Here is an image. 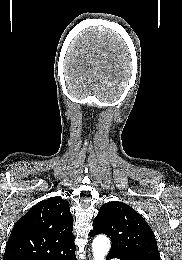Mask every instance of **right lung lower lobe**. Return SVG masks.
Instances as JSON below:
<instances>
[{"mask_svg":"<svg viewBox=\"0 0 182 260\" xmlns=\"http://www.w3.org/2000/svg\"><path fill=\"white\" fill-rule=\"evenodd\" d=\"M50 260H77L75 256V250L66 252L64 254L58 255Z\"/></svg>","mask_w":182,"mask_h":260,"instance_id":"98d812e1","label":"right lung lower lobe"}]
</instances>
